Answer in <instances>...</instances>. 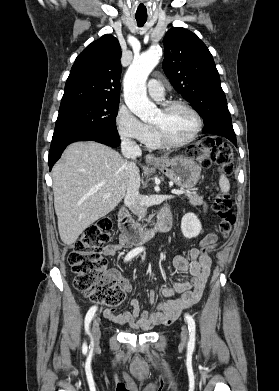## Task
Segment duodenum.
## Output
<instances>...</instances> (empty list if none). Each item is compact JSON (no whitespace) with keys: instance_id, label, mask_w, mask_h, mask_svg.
I'll return each instance as SVG.
<instances>
[{"instance_id":"1","label":"duodenum","mask_w":279,"mask_h":391,"mask_svg":"<svg viewBox=\"0 0 279 391\" xmlns=\"http://www.w3.org/2000/svg\"><path fill=\"white\" fill-rule=\"evenodd\" d=\"M172 226L173 218L168 208H164L157 222L147 229L136 225L126 208H121L118 213V227L123 242L128 246L144 244L156 235L168 232Z\"/></svg>"}]
</instances>
